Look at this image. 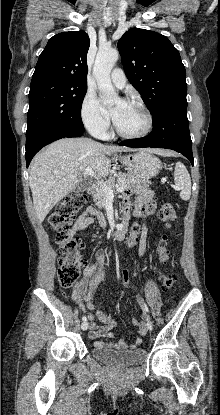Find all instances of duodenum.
<instances>
[{
  "mask_svg": "<svg viewBox=\"0 0 220 415\" xmlns=\"http://www.w3.org/2000/svg\"><path fill=\"white\" fill-rule=\"evenodd\" d=\"M96 191V185L95 184H89L87 187V192L89 194H92ZM127 222L128 219L126 216H123L122 221L120 225H118L114 230L108 231V234L111 236H114L116 238H123L127 231Z\"/></svg>",
  "mask_w": 220,
  "mask_h": 415,
  "instance_id": "410a0bca",
  "label": "duodenum"
}]
</instances>
